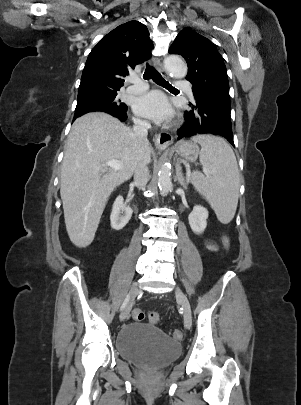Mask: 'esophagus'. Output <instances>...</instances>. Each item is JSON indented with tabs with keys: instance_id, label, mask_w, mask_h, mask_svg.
I'll list each match as a JSON object with an SVG mask.
<instances>
[{
	"instance_id": "34e87169",
	"label": "esophagus",
	"mask_w": 301,
	"mask_h": 405,
	"mask_svg": "<svg viewBox=\"0 0 301 405\" xmlns=\"http://www.w3.org/2000/svg\"><path fill=\"white\" fill-rule=\"evenodd\" d=\"M153 64L159 73L165 75L160 59L153 58ZM154 142L158 148L165 149L173 143V136L169 133H159L154 136Z\"/></svg>"
}]
</instances>
